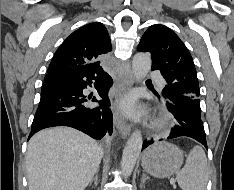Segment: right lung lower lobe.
<instances>
[{
  "mask_svg": "<svg viewBox=\"0 0 234 190\" xmlns=\"http://www.w3.org/2000/svg\"><path fill=\"white\" fill-rule=\"evenodd\" d=\"M113 81L100 62L77 65L49 73L41 90V99L32 122L29 138L44 128L69 126L94 139L100 140L112 133V112L108 90ZM94 86L101 100L83 95V89ZM98 102L100 107H89L88 101Z\"/></svg>",
  "mask_w": 234,
  "mask_h": 190,
  "instance_id": "obj_1",
  "label": "right lung lower lobe"
}]
</instances>
